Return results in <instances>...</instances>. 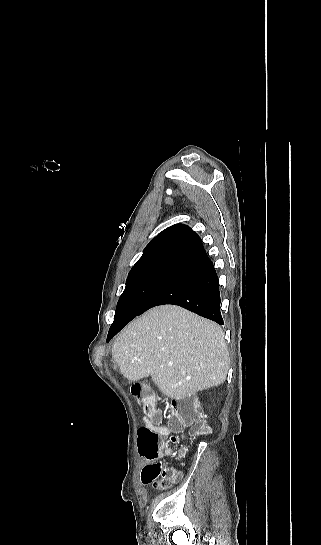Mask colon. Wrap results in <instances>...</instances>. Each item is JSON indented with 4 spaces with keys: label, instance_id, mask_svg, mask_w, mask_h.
<instances>
[{
    "label": "colon",
    "instance_id": "1",
    "mask_svg": "<svg viewBox=\"0 0 321 545\" xmlns=\"http://www.w3.org/2000/svg\"><path fill=\"white\" fill-rule=\"evenodd\" d=\"M131 394L141 405L146 417L152 421H159L160 412L156 407L155 392L149 386L142 383H134L131 386ZM171 427L177 431L189 426L190 432L194 435L208 431V426L201 419L197 406L194 402L182 399L176 401L172 406ZM176 442L175 437L171 438ZM138 442L141 454L149 460H155L159 454L160 436L148 426H143L138 430ZM184 449L179 450L183 454ZM151 482H155L157 488L166 489L178 480V471L174 468H161L158 473H153Z\"/></svg>",
    "mask_w": 321,
    "mask_h": 545
}]
</instances>
